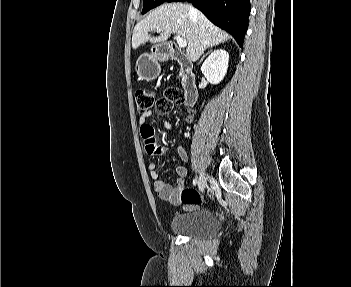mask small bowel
<instances>
[{"label":"small bowel","mask_w":351,"mask_h":287,"mask_svg":"<svg viewBox=\"0 0 351 287\" xmlns=\"http://www.w3.org/2000/svg\"><path fill=\"white\" fill-rule=\"evenodd\" d=\"M153 116L152 111H147L139 116L140 133L142 137L143 152H148L150 156H165L168 154L167 148L162 147V143H159L156 138V132H154V122H147L150 117ZM191 119V117H189ZM163 127L168 130L179 131V128L169 122L163 121ZM158 149V150H157ZM177 153L181 160L186 161L188 156L183 146H178ZM148 170L151 178L154 180V188L158 196L163 200H168L174 205L181 203L180 193L186 185V177L188 175V169L185 166H178L176 169L178 178L176 180V186L172 187L170 184L159 178L157 171V164L150 162L148 164Z\"/></svg>","instance_id":"small-bowel-1"}]
</instances>
